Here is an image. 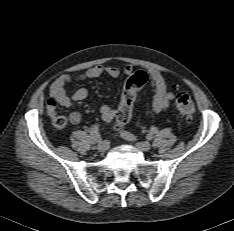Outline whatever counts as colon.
Masks as SVG:
<instances>
[{
  "label": "colon",
  "mask_w": 234,
  "mask_h": 231,
  "mask_svg": "<svg viewBox=\"0 0 234 231\" xmlns=\"http://www.w3.org/2000/svg\"><path fill=\"white\" fill-rule=\"evenodd\" d=\"M147 80L148 76L143 71H138L126 79L116 117L118 127L121 128L130 122L138 93L147 83ZM174 102L178 112L183 117L188 120L192 119L195 113V105L189 94L183 91L176 92ZM53 123L57 128H63L66 125V119L63 116H56L53 118Z\"/></svg>",
  "instance_id": "5ec220e1"
}]
</instances>
